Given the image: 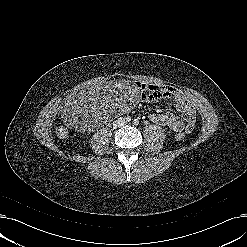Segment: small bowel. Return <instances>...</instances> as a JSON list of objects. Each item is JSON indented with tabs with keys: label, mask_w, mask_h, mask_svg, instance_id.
<instances>
[{
	"label": "small bowel",
	"mask_w": 247,
	"mask_h": 247,
	"mask_svg": "<svg viewBox=\"0 0 247 247\" xmlns=\"http://www.w3.org/2000/svg\"><path fill=\"white\" fill-rule=\"evenodd\" d=\"M152 88L156 91V95L149 98L147 95H142V99L146 102H153L158 98H169L175 103L177 110L182 115V120H178L171 113H153L149 116L153 123L167 127L173 131L191 132L195 126V108L190 100L177 88L160 85V84H141V88L146 90Z\"/></svg>",
	"instance_id": "obj_1"
}]
</instances>
